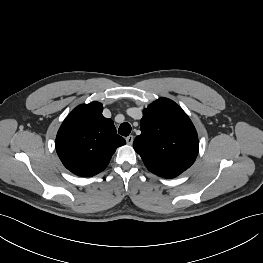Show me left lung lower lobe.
I'll return each mask as SVG.
<instances>
[{
  "instance_id": "1",
  "label": "left lung lower lobe",
  "mask_w": 263,
  "mask_h": 263,
  "mask_svg": "<svg viewBox=\"0 0 263 263\" xmlns=\"http://www.w3.org/2000/svg\"><path fill=\"white\" fill-rule=\"evenodd\" d=\"M173 177H176V176H170V178H173Z\"/></svg>"
}]
</instances>
